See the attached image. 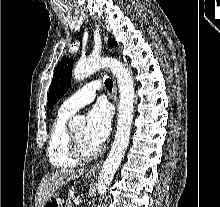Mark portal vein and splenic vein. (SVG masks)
Listing matches in <instances>:
<instances>
[{
    "mask_svg": "<svg viewBox=\"0 0 220 207\" xmlns=\"http://www.w3.org/2000/svg\"><path fill=\"white\" fill-rule=\"evenodd\" d=\"M74 203L76 204V205H79L80 203H81V198H76L75 200H74Z\"/></svg>",
    "mask_w": 220,
    "mask_h": 207,
    "instance_id": "obj_1",
    "label": "portal vein and splenic vein"
}]
</instances>
